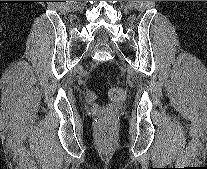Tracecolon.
<instances>
[{
    "label": "colon",
    "mask_w": 207,
    "mask_h": 169,
    "mask_svg": "<svg viewBox=\"0 0 207 169\" xmlns=\"http://www.w3.org/2000/svg\"><path fill=\"white\" fill-rule=\"evenodd\" d=\"M110 103L99 110L98 133L102 138H110L114 132V120L118 106L125 99V92L119 86H111L108 92Z\"/></svg>",
    "instance_id": "obj_1"
}]
</instances>
